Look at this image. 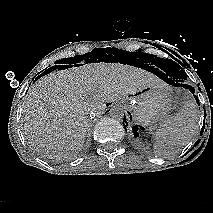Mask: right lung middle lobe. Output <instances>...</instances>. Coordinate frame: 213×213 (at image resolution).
<instances>
[{"instance_id": "right-lung-middle-lobe-1", "label": "right lung middle lobe", "mask_w": 213, "mask_h": 213, "mask_svg": "<svg viewBox=\"0 0 213 213\" xmlns=\"http://www.w3.org/2000/svg\"><path fill=\"white\" fill-rule=\"evenodd\" d=\"M109 50H111V51H115L116 50V48H110V49H103V51H102V49H95V50H93L92 52H90V53H87V54H85V55H79V56H75V57H72V58H66L65 60H58V61H56L55 63L56 64H63V63H69V64H73V63H77V62H79V61H82L83 60V58L84 57H88V58H96L98 55L100 56V54H101V52H103L104 54H105V56H106V53H109ZM113 53V52H112ZM111 54V53H110ZM114 54V53H113ZM111 57H112V55H111ZM85 59V58H84Z\"/></svg>"}]
</instances>
